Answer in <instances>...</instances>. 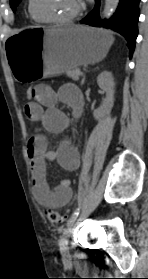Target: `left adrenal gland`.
Masks as SVG:
<instances>
[{"mask_svg":"<svg viewBox=\"0 0 148 279\" xmlns=\"http://www.w3.org/2000/svg\"><path fill=\"white\" fill-rule=\"evenodd\" d=\"M84 82H85V75H84V77H83V79L81 81V86L84 84Z\"/></svg>","mask_w":148,"mask_h":279,"instance_id":"left-adrenal-gland-1","label":"left adrenal gland"}]
</instances>
